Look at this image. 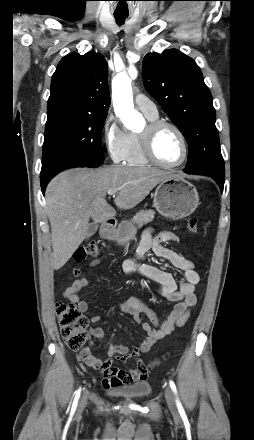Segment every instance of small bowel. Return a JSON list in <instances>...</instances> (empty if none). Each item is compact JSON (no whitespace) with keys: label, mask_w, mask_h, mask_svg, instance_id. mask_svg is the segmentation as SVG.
Here are the masks:
<instances>
[{"label":"small bowel","mask_w":254,"mask_h":440,"mask_svg":"<svg viewBox=\"0 0 254 440\" xmlns=\"http://www.w3.org/2000/svg\"><path fill=\"white\" fill-rule=\"evenodd\" d=\"M177 240V236L171 232L165 231L154 235L152 229H147L142 235L135 256L124 261L123 270L126 274H138L155 282L159 286L161 295L168 301L175 303V306L168 317L159 322L155 312L137 297H129L122 301L119 305L120 310L131 314L146 336L138 346L132 349L119 344H109L107 348L109 356L116 357L120 361H125L128 358H138L141 354L148 352L157 340L170 334L176 327L183 326L189 319L190 310L196 304L195 286L199 283L200 276L190 259L184 257L174 248L163 245L165 242ZM150 250L157 257L167 260L174 267L181 270L183 276L177 280L171 273L157 267L147 264L139 265L138 260ZM99 263L100 260H94L91 267H95ZM88 284L87 278L80 277L74 280L63 293L64 297L73 303L80 312H86L89 309L87 302L78 295ZM141 315H145L151 323L143 322ZM90 320L93 323H99L103 320V317L94 315ZM90 334L93 338H103L104 330L100 326H95L90 330ZM90 345H93V341H90ZM79 356L86 365L101 370L102 384L105 388L144 382L148 376L146 365L139 359L136 361L134 368L121 369L114 364L113 360L102 361L94 356L90 347L83 349Z\"/></svg>","instance_id":"1"}]
</instances>
